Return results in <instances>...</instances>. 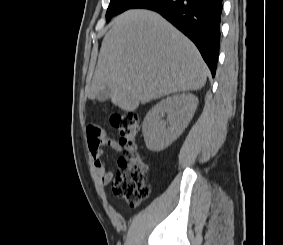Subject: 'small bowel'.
I'll return each mask as SVG.
<instances>
[{"instance_id": "1", "label": "small bowel", "mask_w": 283, "mask_h": 245, "mask_svg": "<svg viewBox=\"0 0 283 245\" xmlns=\"http://www.w3.org/2000/svg\"><path fill=\"white\" fill-rule=\"evenodd\" d=\"M87 141L101 183L106 185L111 182L113 174L106 169L103 160V156L105 155L104 147H109L119 152L121 150V144L117 140L109 138L106 130L99 126L89 127Z\"/></svg>"}]
</instances>
